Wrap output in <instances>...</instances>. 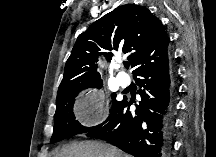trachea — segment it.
<instances>
[{"instance_id":"1","label":"trachea","mask_w":216,"mask_h":157,"mask_svg":"<svg viewBox=\"0 0 216 157\" xmlns=\"http://www.w3.org/2000/svg\"><path fill=\"white\" fill-rule=\"evenodd\" d=\"M129 66H130L129 62H124V67H125L126 69H128Z\"/></svg>"}]
</instances>
